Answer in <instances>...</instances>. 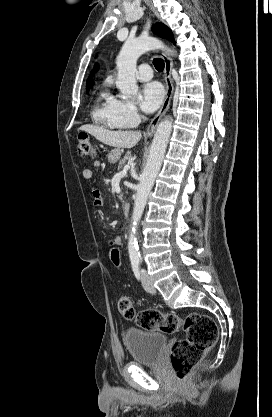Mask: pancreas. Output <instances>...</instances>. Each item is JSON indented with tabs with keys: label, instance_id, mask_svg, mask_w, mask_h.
Masks as SVG:
<instances>
[{
	"label": "pancreas",
	"instance_id": "1",
	"mask_svg": "<svg viewBox=\"0 0 272 417\" xmlns=\"http://www.w3.org/2000/svg\"><path fill=\"white\" fill-rule=\"evenodd\" d=\"M130 159H131L130 153H126L124 158L119 161L118 169H121L127 163V161L130 160ZM119 198L121 199V196Z\"/></svg>",
	"mask_w": 272,
	"mask_h": 417
}]
</instances>
